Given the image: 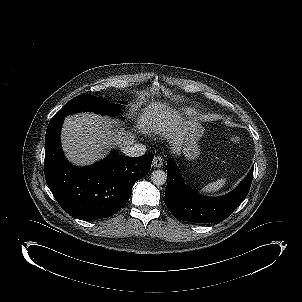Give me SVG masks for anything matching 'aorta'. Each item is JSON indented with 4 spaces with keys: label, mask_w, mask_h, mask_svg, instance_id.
Listing matches in <instances>:
<instances>
[{
    "label": "aorta",
    "mask_w": 302,
    "mask_h": 302,
    "mask_svg": "<svg viewBox=\"0 0 302 302\" xmlns=\"http://www.w3.org/2000/svg\"><path fill=\"white\" fill-rule=\"evenodd\" d=\"M151 182L156 186L164 185L167 182V174L163 170H155L151 174Z\"/></svg>",
    "instance_id": "762f6f07"
}]
</instances>
